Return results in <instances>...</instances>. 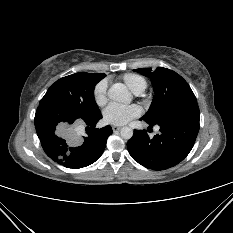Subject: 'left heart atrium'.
I'll return each instance as SVG.
<instances>
[{"label":"left heart atrium","instance_id":"obj_1","mask_svg":"<svg viewBox=\"0 0 233 233\" xmlns=\"http://www.w3.org/2000/svg\"><path fill=\"white\" fill-rule=\"evenodd\" d=\"M141 114V109L136 105H120L112 103L103 111L104 122L121 126L125 125Z\"/></svg>","mask_w":233,"mask_h":233}]
</instances>
